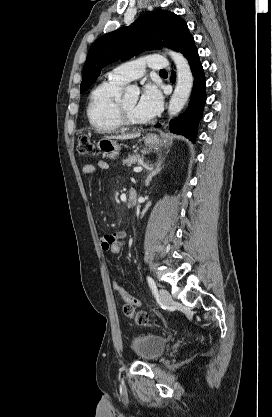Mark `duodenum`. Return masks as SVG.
Wrapping results in <instances>:
<instances>
[{"instance_id":"duodenum-1","label":"duodenum","mask_w":272,"mask_h":417,"mask_svg":"<svg viewBox=\"0 0 272 417\" xmlns=\"http://www.w3.org/2000/svg\"><path fill=\"white\" fill-rule=\"evenodd\" d=\"M137 201V191L135 188H131L127 198V206L133 207Z\"/></svg>"}]
</instances>
